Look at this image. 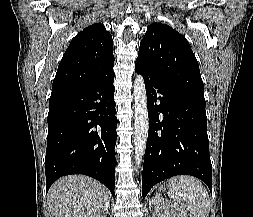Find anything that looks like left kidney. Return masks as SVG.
<instances>
[{
	"label": "left kidney",
	"mask_w": 253,
	"mask_h": 217,
	"mask_svg": "<svg viewBox=\"0 0 253 217\" xmlns=\"http://www.w3.org/2000/svg\"><path fill=\"white\" fill-rule=\"evenodd\" d=\"M151 204L154 205L152 208L153 217H188L186 211L175 208L164 198L155 197Z\"/></svg>",
	"instance_id": "1"
}]
</instances>
